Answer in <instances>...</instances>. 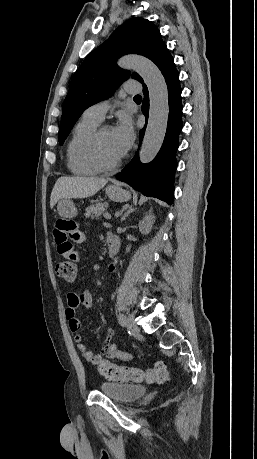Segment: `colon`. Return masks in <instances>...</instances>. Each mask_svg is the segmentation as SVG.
<instances>
[{"instance_id":"5ec220e1","label":"colon","mask_w":257,"mask_h":459,"mask_svg":"<svg viewBox=\"0 0 257 459\" xmlns=\"http://www.w3.org/2000/svg\"><path fill=\"white\" fill-rule=\"evenodd\" d=\"M55 273L59 278L72 282L77 277V265L71 261H58L55 264ZM93 363L102 376L117 381L164 383L169 380V371L164 362H157L149 368L141 369L118 366L101 356H95Z\"/></svg>"}]
</instances>
